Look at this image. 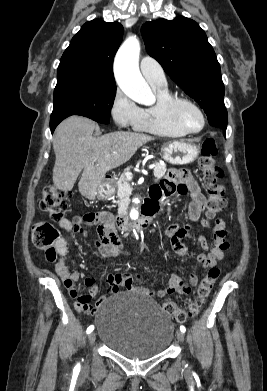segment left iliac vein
Wrapping results in <instances>:
<instances>
[{"label": "left iliac vein", "mask_w": 267, "mask_h": 391, "mask_svg": "<svg viewBox=\"0 0 267 391\" xmlns=\"http://www.w3.org/2000/svg\"><path fill=\"white\" fill-rule=\"evenodd\" d=\"M176 335H177V338H178V340L179 341H181V342H183L184 341V332H182L181 330H178L177 332H176Z\"/></svg>", "instance_id": "left-iliac-vein-1"}]
</instances>
